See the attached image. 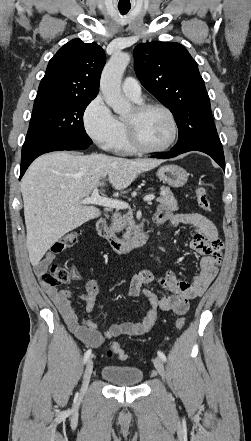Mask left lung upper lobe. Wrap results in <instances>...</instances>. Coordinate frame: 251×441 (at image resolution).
<instances>
[{
	"instance_id": "obj_1",
	"label": "left lung upper lobe",
	"mask_w": 251,
	"mask_h": 441,
	"mask_svg": "<svg viewBox=\"0 0 251 441\" xmlns=\"http://www.w3.org/2000/svg\"><path fill=\"white\" fill-rule=\"evenodd\" d=\"M134 69L141 84L173 113L178 129L205 115L212 118L209 96L197 63L181 44L137 45Z\"/></svg>"
}]
</instances>
